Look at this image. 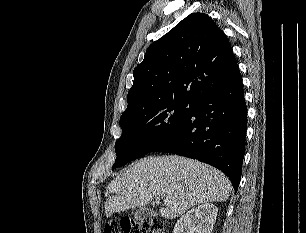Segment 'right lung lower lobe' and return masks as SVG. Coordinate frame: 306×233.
Returning a JSON list of instances; mask_svg holds the SVG:
<instances>
[{
	"instance_id": "obj_1",
	"label": "right lung lower lobe",
	"mask_w": 306,
	"mask_h": 233,
	"mask_svg": "<svg viewBox=\"0 0 306 233\" xmlns=\"http://www.w3.org/2000/svg\"><path fill=\"white\" fill-rule=\"evenodd\" d=\"M242 78L202 99L178 128L153 151L198 159L223 171L237 191L247 127Z\"/></svg>"
}]
</instances>
